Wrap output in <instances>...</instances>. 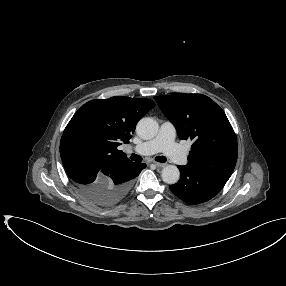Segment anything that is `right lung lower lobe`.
Segmentation results:
<instances>
[{
	"label": "right lung lower lobe",
	"instance_id": "obj_1",
	"mask_svg": "<svg viewBox=\"0 0 286 286\" xmlns=\"http://www.w3.org/2000/svg\"><path fill=\"white\" fill-rule=\"evenodd\" d=\"M60 155L64 168L78 193L98 206H110L129 191L132 180L146 167L144 163H124L105 167L77 138L62 137Z\"/></svg>",
	"mask_w": 286,
	"mask_h": 286
}]
</instances>
